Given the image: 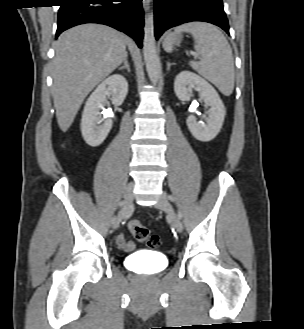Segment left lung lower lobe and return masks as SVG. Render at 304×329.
Returning <instances> with one entry per match:
<instances>
[{
	"mask_svg": "<svg viewBox=\"0 0 304 329\" xmlns=\"http://www.w3.org/2000/svg\"><path fill=\"white\" fill-rule=\"evenodd\" d=\"M155 37L174 26L204 21L221 27L229 34L222 0H155Z\"/></svg>",
	"mask_w": 304,
	"mask_h": 329,
	"instance_id": "1",
	"label": "left lung lower lobe"
}]
</instances>
